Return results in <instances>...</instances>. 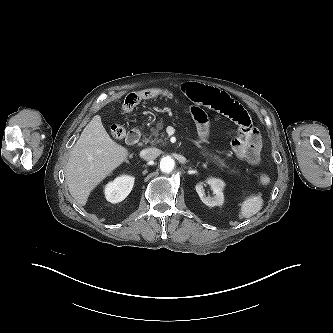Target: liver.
Here are the masks:
<instances>
[{
  "instance_id": "liver-1",
  "label": "liver",
  "mask_w": 333,
  "mask_h": 333,
  "mask_svg": "<svg viewBox=\"0 0 333 333\" xmlns=\"http://www.w3.org/2000/svg\"><path fill=\"white\" fill-rule=\"evenodd\" d=\"M127 148L113 141L99 115L83 129L65 169L68 190L77 204L84 206L90 192L127 160Z\"/></svg>"
}]
</instances>
